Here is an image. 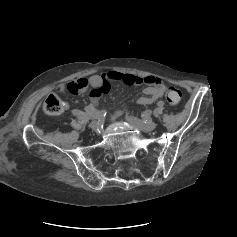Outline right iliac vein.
<instances>
[{
	"label": "right iliac vein",
	"instance_id": "right-iliac-vein-1",
	"mask_svg": "<svg viewBox=\"0 0 237 237\" xmlns=\"http://www.w3.org/2000/svg\"><path fill=\"white\" fill-rule=\"evenodd\" d=\"M89 127L94 130V131H97L99 129V123L97 121H92L90 124H89Z\"/></svg>",
	"mask_w": 237,
	"mask_h": 237
}]
</instances>
